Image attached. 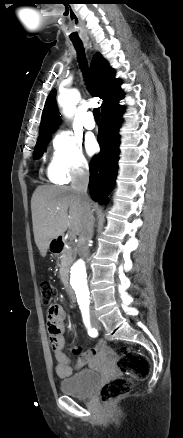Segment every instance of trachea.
<instances>
[{
  "mask_svg": "<svg viewBox=\"0 0 183 438\" xmlns=\"http://www.w3.org/2000/svg\"><path fill=\"white\" fill-rule=\"evenodd\" d=\"M73 45H74V47L77 51V54H78V62H79L80 69L84 75H87L88 66H87V60H86L85 54H84L83 44L81 42H73ZM93 115H94V118L96 121H100V109L99 108H96L93 110Z\"/></svg>",
  "mask_w": 183,
  "mask_h": 438,
  "instance_id": "obj_1",
  "label": "trachea"
}]
</instances>
